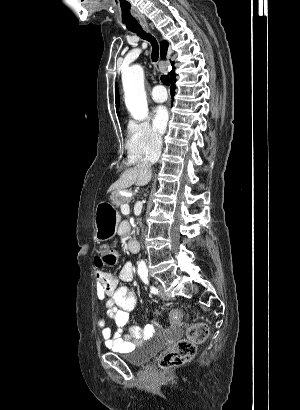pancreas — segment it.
I'll return each mask as SVG.
<instances>
[{"mask_svg":"<svg viewBox=\"0 0 300 410\" xmlns=\"http://www.w3.org/2000/svg\"><path fill=\"white\" fill-rule=\"evenodd\" d=\"M131 197H124L118 194V197L115 201L116 206H122L123 204L129 203L131 201Z\"/></svg>","mask_w":300,"mask_h":410,"instance_id":"1","label":"pancreas"}]
</instances>
